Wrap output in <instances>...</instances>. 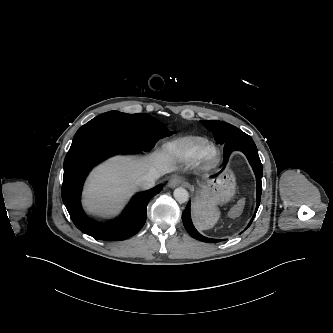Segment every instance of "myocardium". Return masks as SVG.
Wrapping results in <instances>:
<instances>
[{
	"label": "myocardium",
	"mask_w": 333,
	"mask_h": 333,
	"mask_svg": "<svg viewBox=\"0 0 333 333\" xmlns=\"http://www.w3.org/2000/svg\"><path fill=\"white\" fill-rule=\"evenodd\" d=\"M219 158V150L213 144H206L200 151L197 161L200 165L208 167L213 165Z\"/></svg>",
	"instance_id": "obj_1"
}]
</instances>
